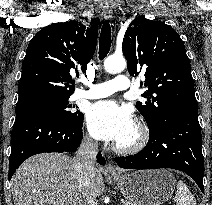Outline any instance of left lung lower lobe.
Returning <instances> with one entry per match:
<instances>
[{
    "mask_svg": "<svg viewBox=\"0 0 212 205\" xmlns=\"http://www.w3.org/2000/svg\"><path fill=\"white\" fill-rule=\"evenodd\" d=\"M150 139L138 154L116 158L127 169L172 168L187 173L203 188V155L198 106H184L171 112L149 130Z\"/></svg>",
    "mask_w": 212,
    "mask_h": 205,
    "instance_id": "obj_1",
    "label": "left lung lower lobe"
}]
</instances>
